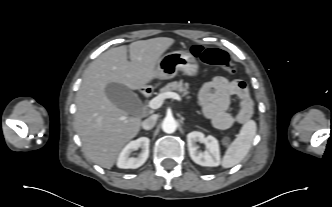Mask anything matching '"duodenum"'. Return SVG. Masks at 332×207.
I'll return each instance as SVG.
<instances>
[{
  "mask_svg": "<svg viewBox=\"0 0 332 207\" xmlns=\"http://www.w3.org/2000/svg\"><path fill=\"white\" fill-rule=\"evenodd\" d=\"M142 94H143V95H145V94H146V92L143 90V91H142Z\"/></svg>",
  "mask_w": 332,
  "mask_h": 207,
  "instance_id": "410a0bca",
  "label": "duodenum"
}]
</instances>
